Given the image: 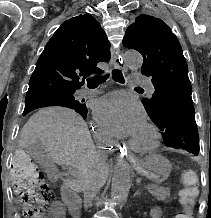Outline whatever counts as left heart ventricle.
<instances>
[{
  "mask_svg": "<svg viewBox=\"0 0 211 218\" xmlns=\"http://www.w3.org/2000/svg\"><path fill=\"white\" fill-rule=\"evenodd\" d=\"M131 140H133L134 142H136L138 144L145 145V144L149 143V141H150V134L144 127L136 135L132 136Z\"/></svg>",
  "mask_w": 211,
  "mask_h": 218,
  "instance_id": "1",
  "label": "left heart ventricle"
}]
</instances>
